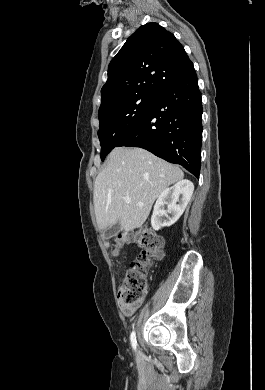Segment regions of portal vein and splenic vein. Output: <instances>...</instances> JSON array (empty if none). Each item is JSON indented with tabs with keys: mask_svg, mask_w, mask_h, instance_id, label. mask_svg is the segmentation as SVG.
<instances>
[{
	"mask_svg": "<svg viewBox=\"0 0 265 390\" xmlns=\"http://www.w3.org/2000/svg\"><path fill=\"white\" fill-rule=\"evenodd\" d=\"M124 202L129 204L131 202V198L130 197H124L123 198ZM139 206H143V203H138Z\"/></svg>",
	"mask_w": 265,
	"mask_h": 390,
	"instance_id": "1",
	"label": "portal vein and splenic vein"
}]
</instances>
